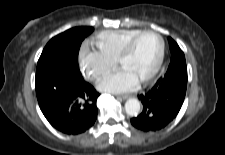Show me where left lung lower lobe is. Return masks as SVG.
<instances>
[{
  "label": "left lung lower lobe",
  "mask_w": 225,
  "mask_h": 155,
  "mask_svg": "<svg viewBox=\"0 0 225 155\" xmlns=\"http://www.w3.org/2000/svg\"><path fill=\"white\" fill-rule=\"evenodd\" d=\"M186 87L180 80H158L151 90L138 96L143 111L131 119L132 125L143 131H157L167 126L183 104Z\"/></svg>",
  "instance_id": "1"
}]
</instances>
